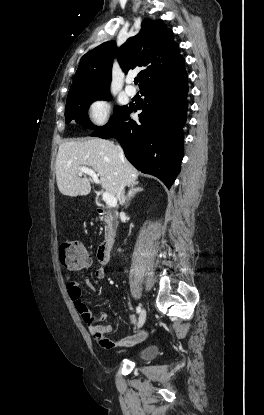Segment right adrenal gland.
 I'll return each mask as SVG.
<instances>
[{
  "label": "right adrenal gland",
  "mask_w": 264,
  "mask_h": 415,
  "mask_svg": "<svg viewBox=\"0 0 264 415\" xmlns=\"http://www.w3.org/2000/svg\"><path fill=\"white\" fill-rule=\"evenodd\" d=\"M138 184H139V182H134L132 185H131V187H130V189H129V191H128V194H127V196H126V198H125V203H124V206H125V208H127L128 206H129V202H130V200L138 193V192H141V191H143V188L142 187H139L138 186Z\"/></svg>",
  "instance_id": "1"
}]
</instances>
